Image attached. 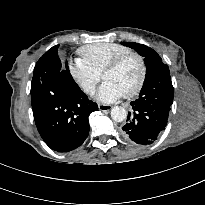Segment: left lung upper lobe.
I'll use <instances>...</instances> for the list:
<instances>
[{"instance_id": "1", "label": "left lung upper lobe", "mask_w": 205, "mask_h": 205, "mask_svg": "<svg viewBox=\"0 0 205 205\" xmlns=\"http://www.w3.org/2000/svg\"><path fill=\"white\" fill-rule=\"evenodd\" d=\"M121 44L135 49L144 57L146 77L137 100L149 104L171 106L174 88L169 68L162 63L160 56L152 48L143 44L134 42H121Z\"/></svg>"}]
</instances>
